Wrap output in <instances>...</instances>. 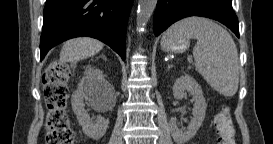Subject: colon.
Masks as SVG:
<instances>
[{
	"label": "colon",
	"instance_id": "colon-1",
	"mask_svg": "<svg viewBox=\"0 0 273 144\" xmlns=\"http://www.w3.org/2000/svg\"><path fill=\"white\" fill-rule=\"evenodd\" d=\"M69 69L62 64L50 65L42 75L43 92L48 109L46 144H73L75 133L66 112L69 90ZM214 126L218 144H235V130L228 107L215 115Z\"/></svg>",
	"mask_w": 273,
	"mask_h": 144
}]
</instances>
